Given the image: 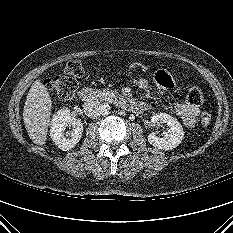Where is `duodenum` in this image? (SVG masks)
<instances>
[{
    "label": "duodenum",
    "mask_w": 233,
    "mask_h": 233,
    "mask_svg": "<svg viewBox=\"0 0 233 233\" xmlns=\"http://www.w3.org/2000/svg\"><path fill=\"white\" fill-rule=\"evenodd\" d=\"M100 95V92L93 88H83L79 92V97L84 102H92L96 100ZM118 103L122 108L132 112H138L141 110L140 104L129 98H118Z\"/></svg>",
    "instance_id": "410a0bca"
}]
</instances>
